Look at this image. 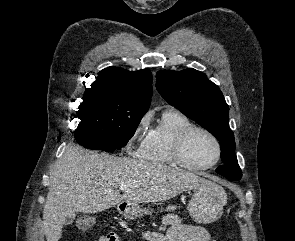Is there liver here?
Here are the masks:
<instances>
[{"mask_svg":"<svg viewBox=\"0 0 295 241\" xmlns=\"http://www.w3.org/2000/svg\"><path fill=\"white\" fill-rule=\"evenodd\" d=\"M209 181L197 174L163 164L85 152L69 144L50 172L43 210L47 241H58L67 217L97 213L120 203L166 201ZM121 184L129 187L123 194Z\"/></svg>","mask_w":295,"mask_h":241,"instance_id":"6515ba94","label":"liver"}]
</instances>
